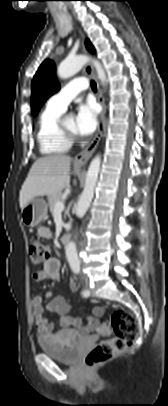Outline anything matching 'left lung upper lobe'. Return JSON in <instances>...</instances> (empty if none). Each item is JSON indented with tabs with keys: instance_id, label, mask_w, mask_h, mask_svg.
<instances>
[{
	"instance_id": "left-lung-upper-lobe-1",
	"label": "left lung upper lobe",
	"mask_w": 168,
	"mask_h": 406,
	"mask_svg": "<svg viewBox=\"0 0 168 406\" xmlns=\"http://www.w3.org/2000/svg\"><path fill=\"white\" fill-rule=\"evenodd\" d=\"M86 48L92 53L95 52L89 40H86ZM59 89L60 85L55 78L54 63L51 60H45L32 80V114L37 115L44 102Z\"/></svg>"
}]
</instances>
